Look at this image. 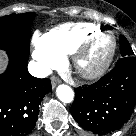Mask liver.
Returning <instances> with one entry per match:
<instances>
[{
  "label": "liver",
  "instance_id": "liver-1",
  "mask_svg": "<svg viewBox=\"0 0 136 136\" xmlns=\"http://www.w3.org/2000/svg\"><path fill=\"white\" fill-rule=\"evenodd\" d=\"M5 54L0 51V72L4 70L6 66Z\"/></svg>",
  "mask_w": 136,
  "mask_h": 136
}]
</instances>
